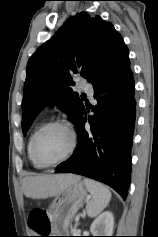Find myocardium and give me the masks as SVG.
I'll return each mask as SVG.
<instances>
[{"instance_id": "1", "label": "myocardium", "mask_w": 158, "mask_h": 237, "mask_svg": "<svg viewBox=\"0 0 158 237\" xmlns=\"http://www.w3.org/2000/svg\"><path fill=\"white\" fill-rule=\"evenodd\" d=\"M52 127H62L67 130V132L69 133V136H70V146H69L67 152L62 157H60L56 160H53V161H44L37 154V142H38V139L40 138V136L42 135V133ZM76 144H77V138H76V134H75L74 130L72 129V127L66 121L53 120V121L43 124L36 131V133L32 139L31 154H32L34 161L37 164H39L43 167L55 166V165H58L64 161L68 160L72 156V154L74 153V151L76 149Z\"/></svg>"}]
</instances>
